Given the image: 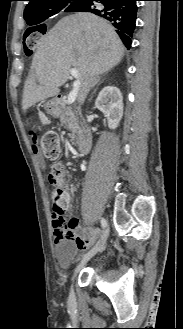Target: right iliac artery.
<instances>
[{
  "instance_id": "obj_1",
  "label": "right iliac artery",
  "mask_w": 183,
  "mask_h": 329,
  "mask_svg": "<svg viewBox=\"0 0 183 329\" xmlns=\"http://www.w3.org/2000/svg\"><path fill=\"white\" fill-rule=\"evenodd\" d=\"M101 225L103 228H105L107 226V222L104 218L101 219Z\"/></svg>"
}]
</instances>
